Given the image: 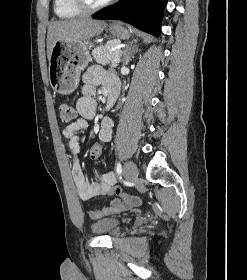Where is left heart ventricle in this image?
Masks as SVG:
<instances>
[{"instance_id": "left-heart-ventricle-1", "label": "left heart ventricle", "mask_w": 247, "mask_h": 280, "mask_svg": "<svg viewBox=\"0 0 247 280\" xmlns=\"http://www.w3.org/2000/svg\"><path fill=\"white\" fill-rule=\"evenodd\" d=\"M88 3L92 4V5H96L99 4L101 2H104L106 0H86Z\"/></svg>"}]
</instances>
